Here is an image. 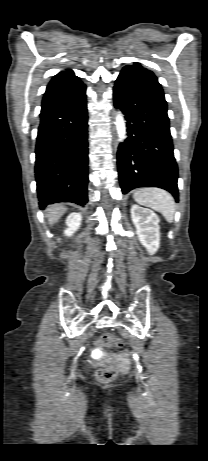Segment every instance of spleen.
<instances>
[{"label":"spleen","mask_w":208,"mask_h":461,"mask_svg":"<svg viewBox=\"0 0 208 461\" xmlns=\"http://www.w3.org/2000/svg\"><path fill=\"white\" fill-rule=\"evenodd\" d=\"M133 198L138 204L160 212L167 222H173L175 201L169 192L160 188H142L133 194Z\"/></svg>","instance_id":"3e777b00"}]
</instances>
